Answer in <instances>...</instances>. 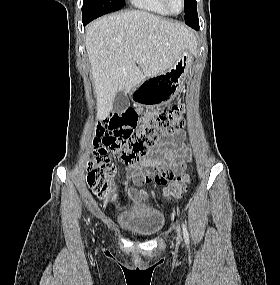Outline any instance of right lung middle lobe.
<instances>
[{"instance_id":"dd1d6c3e","label":"right lung middle lobe","mask_w":280,"mask_h":285,"mask_svg":"<svg viewBox=\"0 0 280 285\" xmlns=\"http://www.w3.org/2000/svg\"><path fill=\"white\" fill-rule=\"evenodd\" d=\"M123 6L124 0H84L82 19L90 22L106 13L119 10Z\"/></svg>"}]
</instances>
